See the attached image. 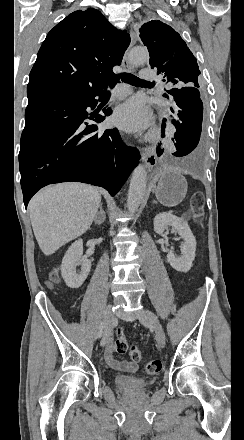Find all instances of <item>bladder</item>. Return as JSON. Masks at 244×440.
<instances>
[{"instance_id":"bladder-1","label":"bladder","mask_w":244,"mask_h":440,"mask_svg":"<svg viewBox=\"0 0 244 440\" xmlns=\"http://www.w3.org/2000/svg\"><path fill=\"white\" fill-rule=\"evenodd\" d=\"M113 381L116 383L117 388L124 390L125 392L141 391L147 389L150 386V380H144L138 377H114Z\"/></svg>"}]
</instances>
